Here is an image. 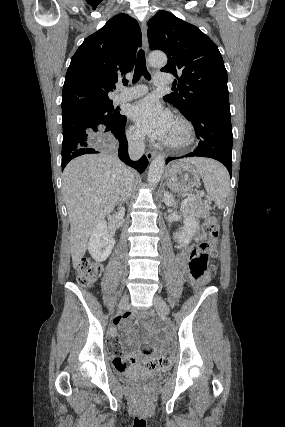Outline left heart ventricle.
Returning a JSON list of instances; mask_svg holds the SVG:
<instances>
[{
  "instance_id": "obj_1",
  "label": "left heart ventricle",
  "mask_w": 285,
  "mask_h": 427,
  "mask_svg": "<svg viewBox=\"0 0 285 427\" xmlns=\"http://www.w3.org/2000/svg\"><path fill=\"white\" fill-rule=\"evenodd\" d=\"M183 138H184V130L182 126L176 121H174L167 140L173 141V142H179Z\"/></svg>"
}]
</instances>
